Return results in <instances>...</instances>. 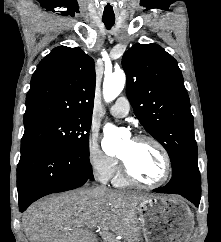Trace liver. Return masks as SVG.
Segmentation results:
<instances>
[{"mask_svg": "<svg viewBox=\"0 0 221 242\" xmlns=\"http://www.w3.org/2000/svg\"><path fill=\"white\" fill-rule=\"evenodd\" d=\"M151 196L99 189H78L41 199L23 215L29 242H96L91 229L118 232L138 242L137 205Z\"/></svg>", "mask_w": 221, "mask_h": 242, "instance_id": "6515ba94", "label": "liver"}]
</instances>
